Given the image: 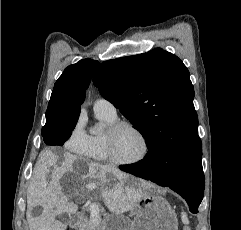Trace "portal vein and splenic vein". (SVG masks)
<instances>
[{
	"instance_id": "18ae733b",
	"label": "portal vein and splenic vein",
	"mask_w": 241,
	"mask_h": 230,
	"mask_svg": "<svg viewBox=\"0 0 241 230\" xmlns=\"http://www.w3.org/2000/svg\"><path fill=\"white\" fill-rule=\"evenodd\" d=\"M89 208H90V216L93 219V221L96 222L100 218L99 208L95 204H91Z\"/></svg>"
}]
</instances>
